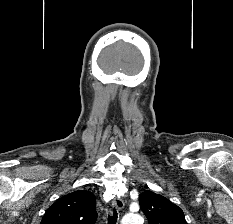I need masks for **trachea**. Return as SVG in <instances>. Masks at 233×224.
I'll return each mask as SVG.
<instances>
[{
  "instance_id": "trachea-1",
  "label": "trachea",
  "mask_w": 233,
  "mask_h": 224,
  "mask_svg": "<svg viewBox=\"0 0 233 224\" xmlns=\"http://www.w3.org/2000/svg\"><path fill=\"white\" fill-rule=\"evenodd\" d=\"M117 218H118V214L116 209L114 208L113 213L108 218V224H116Z\"/></svg>"
}]
</instances>
